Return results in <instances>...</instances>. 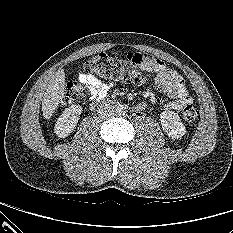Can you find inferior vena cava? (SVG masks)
Listing matches in <instances>:
<instances>
[{"instance_id": "inferior-vena-cava-1", "label": "inferior vena cava", "mask_w": 233, "mask_h": 233, "mask_svg": "<svg viewBox=\"0 0 233 233\" xmlns=\"http://www.w3.org/2000/svg\"><path fill=\"white\" fill-rule=\"evenodd\" d=\"M99 113L102 118H107L108 116L113 114L112 106H105L104 108L99 109Z\"/></svg>"}]
</instances>
